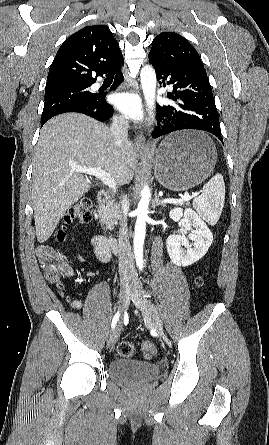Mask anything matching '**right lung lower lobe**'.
<instances>
[{
	"mask_svg": "<svg viewBox=\"0 0 269 445\" xmlns=\"http://www.w3.org/2000/svg\"><path fill=\"white\" fill-rule=\"evenodd\" d=\"M123 63V62H122ZM121 63V64H122ZM121 64L118 65L114 70L110 71L108 74L115 75L114 84L112 89H115L124 80L123 74L121 72ZM66 112H78L93 117L99 121H105L112 116L113 108L105 100V94H97L95 100L87 104L86 106H74L62 110L60 113ZM57 114V115H58ZM44 124H41L43 126Z\"/></svg>",
	"mask_w": 269,
	"mask_h": 445,
	"instance_id": "98d812e1",
	"label": "right lung lower lobe"
}]
</instances>
